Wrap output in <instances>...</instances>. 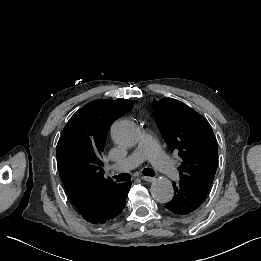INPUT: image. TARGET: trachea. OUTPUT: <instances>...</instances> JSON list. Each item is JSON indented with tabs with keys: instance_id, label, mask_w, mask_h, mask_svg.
I'll list each match as a JSON object with an SVG mask.
<instances>
[{
	"instance_id": "obj_1",
	"label": "trachea",
	"mask_w": 261,
	"mask_h": 261,
	"mask_svg": "<svg viewBox=\"0 0 261 261\" xmlns=\"http://www.w3.org/2000/svg\"><path fill=\"white\" fill-rule=\"evenodd\" d=\"M143 175L154 177L155 171L153 169H150V168H145L143 170ZM115 178H116L117 182H122V181H129L131 179V176H130V174L122 173V174L116 175Z\"/></svg>"
}]
</instances>
